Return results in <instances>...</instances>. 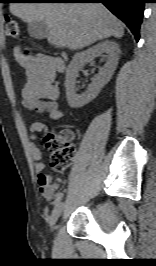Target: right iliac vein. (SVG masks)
Listing matches in <instances>:
<instances>
[{
	"mask_svg": "<svg viewBox=\"0 0 156 266\" xmlns=\"http://www.w3.org/2000/svg\"><path fill=\"white\" fill-rule=\"evenodd\" d=\"M63 210H64V203L63 202L58 203L54 207V209H53V211L51 213V216H50V221H49V224H50L51 228L54 227V225L56 224L57 220L61 216Z\"/></svg>",
	"mask_w": 156,
	"mask_h": 266,
	"instance_id": "right-iliac-vein-1",
	"label": "right iliac vein"
}]
</instances>
